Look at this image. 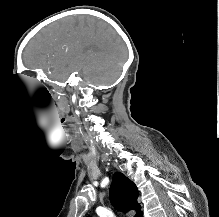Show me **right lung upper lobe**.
<instances>
[{"instance_id":"right-lung-upper-lobe-1","label":"right lung upper lobe","mask_w":219,"mask_h":217,"mask_svg":"<svg viewBox=\"0 0 219 217\" xmlns=\"http://www.w3.org/2000/svg\"><path fill=\"white\" fill-rule=\"evenodd\" d=\"M110 201L121 212L135 210V217H142L136 185L122 173H115L110 187Z\"/></svg>"}]
</instances>
